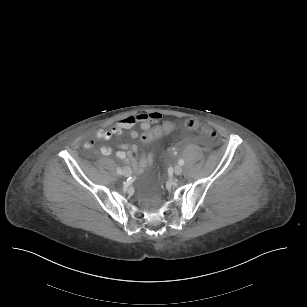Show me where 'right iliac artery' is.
Segmentation results:
<instances>
[{"instance_id":"1","label":"right iliac artery","mask_w":307,"mask_h":307,"mask_svg":"<svg viewBox=\"0 0 307 307\" xmlns=\"http://www.w3.org/2000/svg\"><path fill=\"white\" fill-rule=\"evenodd\" d=\"M117 173H118L119 175H122V174H123V171H122V169H121L120 167L117 168Z\"/></svg>"}]
</instances>
